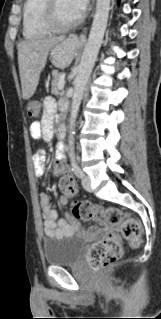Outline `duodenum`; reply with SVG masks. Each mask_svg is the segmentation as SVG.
Masks as SVG:
<instances>
[{
    "mask_svg": "<svg viewBox=\"0 0 161 319\" xmlns=\"http://www.w3.org/2000/svg\"><path fill=\"white\" fill-rule=\"evenodd\" d=\"M66 133H67V126L65 124H62L60 127H59V131H58V135L60 137H65L66 136Z\"/></svg>",
    "mask_w": 161,
    "mask_h": 319,
    "instance_id": "1",
    "label": "duodenum"
}]
</instances>
